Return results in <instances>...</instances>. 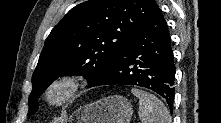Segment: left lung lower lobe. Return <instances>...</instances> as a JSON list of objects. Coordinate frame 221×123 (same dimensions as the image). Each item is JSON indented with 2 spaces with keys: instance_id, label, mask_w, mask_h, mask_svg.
Returning <instances> with one entry per match:
<instances>
[{
  "instance_id": "obj_1",
  "label": "left lung lower lobe",
  "mask_w": 221,
  "mask_h": 123,
  "mask_svg": "<svg viewBox=\"0 0 221 123\" xmlns=\"http://www.w3.org/2000/svg\"><path fill=\"white\" fill-rule=\"evenodd\" d=\"M175 72L171 38L158 8L119 58L98 74L89 87L113 84L146 87L161 95L172 111Z\"/></svg>"
}]
</instances>
